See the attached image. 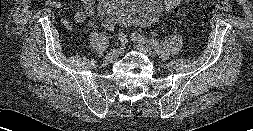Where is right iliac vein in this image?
Wrapping results in <instances>:
<instances>
[{
    "instance_id": "63e3f726",
    "label": "right iliac vein",
    "mask_w": 253,
    "mask_h": 131,
    "mask_svg": "<svg viewBox=\"0 0 253 131\" xmlns=\"http://www.w3.org/2000/svg\"><path fill=\"white\" fill-rule=\"evenodd\" d=\"M120 54H121V49L119 48L113 49L110 53H108L105 56V61L108 63H112L118 58Z\"/></svg>"
}]
</instances>
